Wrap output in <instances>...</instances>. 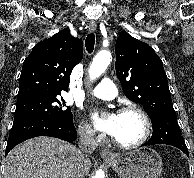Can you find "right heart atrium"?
<instances>
[{
  "label": "right heart atrium",
  "instance_id": "d8ad5b80",
  "mask_svg": "<svg viewBox=\"0 0 194 178\" xmlns=\"http://www.w3.org/2000/svg\"><path fill=\"white\" fill-rule=\"evenodd\" d=\"M78 132L81 138L87 142H96L99 139V136L96 135L91 126L85 122L79 125Z\"/></svg>",
  "mask_w": 194,
  "mask_h": 178
}]
</instances>
